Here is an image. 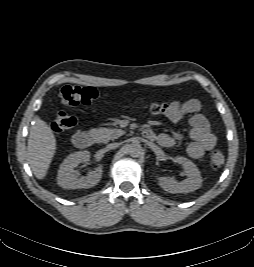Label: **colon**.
Returning a JSON list of instances; mask_svg holds the SVG:
<instances>
[{"label": "colon", "mask_w": 254, "mask_h": 267, "mask_svg": "<svg viewBox=\"0 0 254 267\" xmlns=\"http://www.w3.org/2000/svg\"><path fill=\"white\" fill-rule=\"evenodd\" d=\"M60 99L65 108L71 109L78 105H91L97 98L98 92L93 87H81L77 85H66L60 91ZM167 103L154 102L148 105V109L155 114L165 113L168 111ZM76 125L75 117L65 113L58 112L52 122V129L56 133H63ZM225 162L224 154L215 150L210 154L209 164L212 169H220Z\"/></svg>", "instance_id": "colon-1"}]
</instances>
